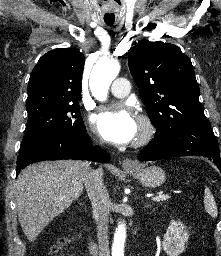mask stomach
I'll list each match as a JSON object with an SVG mask.
<instances>
[{
	"label": "stomach",
	"mask_w": 221,
	"mask_h": 256,
	"mask_svg": "<svg viewBox=\"0 0 221 256\" xmlns=\"http://www.w3.org/2000/svg\"><path fill=\"white\" fill-rule=\"evenodd\" d=\"M126 171L138 179L143 186L148 188L159 187L165 181V173L160 167L138 165L134 168H126Z\"/></svg>",
	"instance_id": "1"
}]
</instances>
